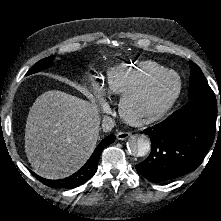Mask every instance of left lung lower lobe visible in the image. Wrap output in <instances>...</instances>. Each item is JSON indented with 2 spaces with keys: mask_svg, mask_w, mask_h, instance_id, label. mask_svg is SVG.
Here are the masks:
<instances>
[{
  "mask_svg": "<svg viewBox=\"0 0 221 221\" xmlns=\"http://www.w3.org/2000/svg\"><path fill=\"white\" fill-rule=\"evenodd\" d=\"M216 119V98L198 96L161 123L145 129L151 139V153L136 165L137 172L150 181L164 182L195 170L213 144Z\"/></svg>",
  "mask_w": 221,
  "mask_h": 221,
  "instance_id": "1",
  "label": "left lung lower lobe"
}]
</instances>
